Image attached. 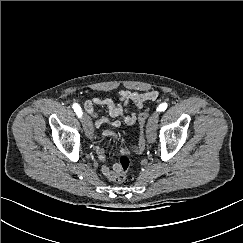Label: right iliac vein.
Wrapping results in <instances>:
<instances>
[{"mask_svg":"<svg viewBox=\"0 0 243 243\" xmlns=\"http://www.w3.org/2000/svg\"><path fill=\"white\" fill-rule=\"evenodd\" d=\"M82 125L87 138L91 140L93 138V125L87 114H83L82 116Z\"/></svg>","mask_w":243,"mask_h":243,"instance_id":"63e3f726","label":"right iliac vein"}]
</instances>
